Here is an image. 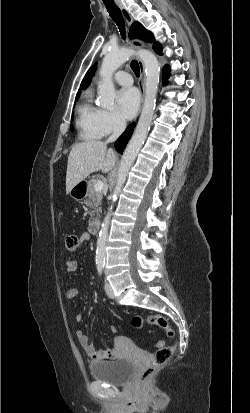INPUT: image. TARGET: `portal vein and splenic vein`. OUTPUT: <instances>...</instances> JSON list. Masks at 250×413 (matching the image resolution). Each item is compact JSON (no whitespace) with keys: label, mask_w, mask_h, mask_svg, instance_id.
Instances as JSON below:
<instances>
[{"label":"portal vein and splenic vein","mask_w":250,"mask_h":413,"mask_svg":"<svg viewBox=\"0 0 250 413\" xmlns=\"http://www.w3.org/2000/svg\"><path fill=\"white\" fill-rule=\"evenodd\" d=\"M103 187H104L103 181L97 180V181L95 182L94 189H95L96 191H101V190L103 189Z\"/></svg>","instance_id":"portal-vein-and-splenic-vein-1"}]
</instances>
